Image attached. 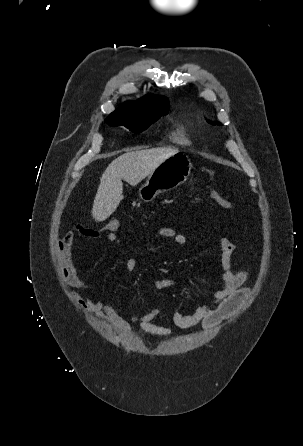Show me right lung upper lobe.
<instances>
[{"label":"right lung upper lobe","instance_id":"cb5924a9","mask_svg":"<svg viewBox=\"0 0 303 446\" xmlns=\"http://www.w3.org/2000/svg\"><path fill=\"white\" fill-rule=\"evenodd\" d=\"M169 107V101L166 97L146 95L138 101H130L122 104L113 113L127 115H142L153 111L159 107Z\"/></svg>","mask_w":303,"mask_h":446}]
</instances>
